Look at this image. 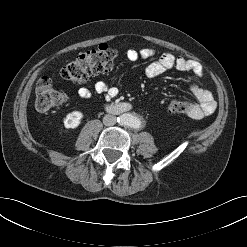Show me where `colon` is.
Instances as JSON below:
<instances>
[{"mask_svg":"<svg viewBox=\"0 0 247 247\" xmlns=\"http://www.w3.org/2000/svg\"><path fill=\"white\" fill-rule=\"evenodd\" d=\"M116 57V50L108 45H101L78 55L66 64L61 70V76L74 83H83L91 76L111 71ZM65 101V94L54 88L49 77H42L38 81L35 105L39 111L58 107ZM193 109V104L188 101L172 100L168 104L170 114H189Z\"/></svg>","mask_w":247,"mask_h":247,"instance_id":"1","label":"colon"}]
</instances>
